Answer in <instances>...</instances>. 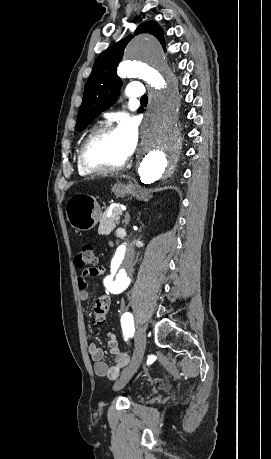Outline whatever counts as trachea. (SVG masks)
I'll return each instance as SVG.
<instances>
[{"instance_id":"trachea-1","label":"trachea","mask_w":271,"mask_h":459,"mask_svg":"<svg viewBox=\"0 0 271 459\" xmlns=\"http://www.w3.org/2000/svg\"><path fill=\"white\" fill-rule=\"evenodd\" d=\"M147 102H148V97H147V95H143V96L141 97V103L147 104Z\"/></svg>"}]
</instances>
